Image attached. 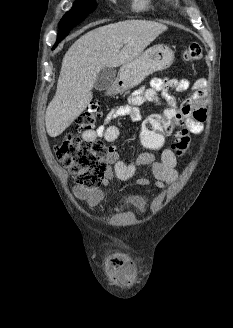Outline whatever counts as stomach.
<instances>
[{
    "mask_svg": "<svg viewBox=\"0 0 233 328\" xmlns=\"http://www.w3.org/2000/svg\"><path fill=\"white\" fill-rule=\"evenodd\" d=\"M174 52L166 45H155L140 56L122 65L115 94L139 85L148 75L172 65Z\"/></svg>",
    "mask_w": 233,
    "mask_h": 328,
    "instance_id": "obj_1",
    "label": "stomach"
}]
</instances>
